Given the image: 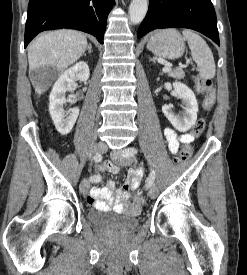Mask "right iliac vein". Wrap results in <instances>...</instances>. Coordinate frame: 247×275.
Masks as SVG:
<instances>
[{
  "instance_id": "63e3f726",
  "label": "right iliac vein",
  "mask_w": 247,
  "mask_h": 275,
  "mask_svg": "<svg viewBox=\"0 0 247 275\" xmlns=\"http://www.w3.org/2000/svg\"><path fill=\"white\" fill-rule=\"evenodd\" d=\"M107 150V145L105 143H98L96 144L92 149V154H103ZM90 188V181L89 179L85 178L80 182L79 189L80 192L85 195L87 194L88 190Z\"/></svg>"
}]
</instances>
